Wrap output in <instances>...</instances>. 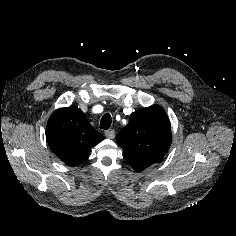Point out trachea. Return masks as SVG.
Wrapping results in <instances>:
<instances>
[{
	"mask_svg": "<svg viewBox=\"0 0 236 236\" xmlns=\"http://www.w3.org/2000/svg\"><path fill=\"white\" fill-rule=\"evenodd\" d=\"M112 123L111 115L109 113H106L103 115L101 121H100V128L107 130L110 128Z\"/></svg>",
	"mask_w": 236,
	"mask_h": 236,
	"instance_id": "1",
	"label": "trachea"
}]
</instances>
